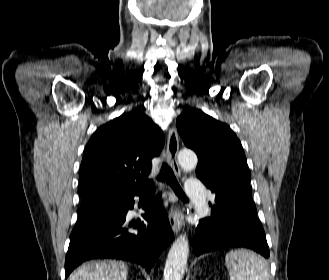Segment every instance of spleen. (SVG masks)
<instances>
[{
	"label": "spleen",
	"mask_w": 329,
	"mask_h": 280,
	"mask_svg": "<svg viewBox=\"0 0 329 280\" xmlns=\"http://www.w3.org/2000/svg\"><path fill=\"white\" fill-rule=\"evenodd\" d=\"M225 263L230 280H269L266 263L249 250L230 251L225 257Z\"/></svg>",
	"instance_id": "3e777b00"
}]
</instances>
